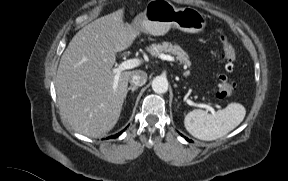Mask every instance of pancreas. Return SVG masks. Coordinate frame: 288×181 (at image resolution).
Returning <instances> with one entry per match:
<instances>
[{
    "label": "pancreas",
    "instance_id": "cf45deb5",
    "mask_svg": "<svg viewBox=\"0 0 288 181\" xmlns=\"http://www.w3.org/2000/svg\"><path fill=\"white\" fill-rule=\"evenodd\" d=\"M151 56H159L163 53H170L176 56V59L184 66H190L188 54L177 44L172 45L169 42L161 44H152L147 48Z\"/></svg>",
    "mask_w": 288,
    "mask_h": 181
}]
</instances>
